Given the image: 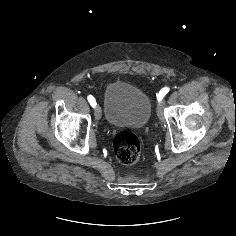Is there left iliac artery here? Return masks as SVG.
<instances>
[{"instance_id": "1", "label": "left iliac artery", "mask_w": 236, "mask_h": 236, "mask_svg": "<svg viewBox=\"0 0 236 236\" xmlns=\"http://www.w3.org/2000/svg\"><path fill=\"white\" fill-rule=\"evenodd\" d=\"M169 92V88L168 87H164L160 90V92L157 95V99L158 101H161L163 99V97Z\"/></svg>"}]
</instances>
